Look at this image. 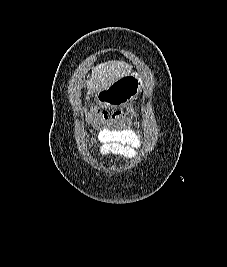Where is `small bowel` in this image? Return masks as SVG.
Instances as JSON below:
<instances>
[{"label":"small bowel","mask_w":227,"mask_h":267,"mask_svg":"<svg viewBox=\"0 0 227 267\" xmlns=\"http://www.w3.org/2000/svg\"><path fill=\"white\" fill-rule=\"evenodd\" d=\"M96 140L101 144L102 155H117L132 158L140 147L138 134L129 129L100 130Z\"/></svg>","instance_id":"small-bowel-1"}]
</instances>
